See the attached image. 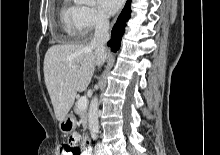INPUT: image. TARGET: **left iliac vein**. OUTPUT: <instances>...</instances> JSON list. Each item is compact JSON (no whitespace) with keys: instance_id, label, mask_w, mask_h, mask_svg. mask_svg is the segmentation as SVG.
<instances>
[{"instance_id":"obj_1","label":"left iliac vein","mask_w":220,"mask_h":155,"mask_svg":"<svg viewBox=\"0 0 220 155\" xmlns=\"http://www.w3.org/2000/svg\"><path fill=\"white\" fill-rule=\"evenodd\" d=\"M101 155H107L106 153H102Z\"/></svg>"}]
</instances>
